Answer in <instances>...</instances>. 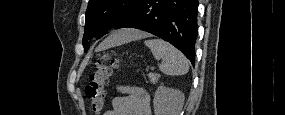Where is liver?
Listing matches in <instances>:
<instances>
[{
  "mask_svg": "<svg viewBox=\"0 0 285 115\" xmlns=\"http://www.w3.org/2000/svg\"><path fill=\"white\" fill-rule=\"evenodd\" d=\"M148 34L139 30L125 29L114 32L106 38L96 49V51L106 50L111 47L120 46L133 40L147 37Z\"/></svg>",
  "mask_w": 285,
  "mask_h": 115,
  "instance_id": "liver-1",
  "label": "liver"
}]
</instances>
